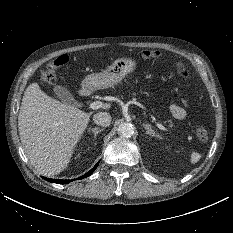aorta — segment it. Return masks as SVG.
<instances>
[{"instance_id":"1","label":"aorta","mask_w":233,"mask_h":233,"mask_svg":"<svg viewBox=\"0 0 233 233\" xmlns=\"http://www.w3.org/2000/svg\"><path fill=\"white\" fill-rule=\"evenodd\" d=\"M118 133L121 137L129 138L134 134V127L131 123H122L118 127Z\"/></svg>"}]
</instances>
